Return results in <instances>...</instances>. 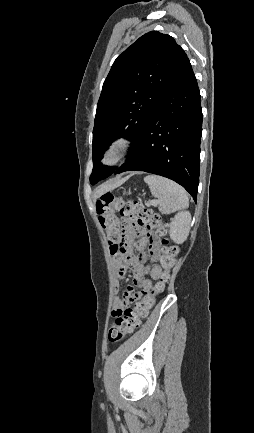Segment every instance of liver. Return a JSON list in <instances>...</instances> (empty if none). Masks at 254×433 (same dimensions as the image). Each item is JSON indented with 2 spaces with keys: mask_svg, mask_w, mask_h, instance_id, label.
Instances as JSON below:
<instances>
[{
  "mask_svg": "<svg viewBox=\"0 0 254 433\" xmlns=\"http://www.w3.org/2000/svg\"><path fill=\"white\" fill-rule=\"evenodd\" d=\"M125 180L126 179H120V180H117V181H114V182L105 183V184L101 185L100 187H98L95 190L94 194H95V196H98V195L102 194L103 192H105L107 190H111V189H113V188H115L117 186H120Z\"/></svg>",
  "mask_w": 254,
  "mask_h": 433,
  "instance_id": "obj_1",
  "label": "liver"
}]
</instances>
